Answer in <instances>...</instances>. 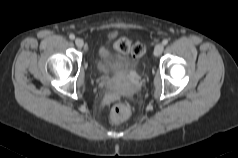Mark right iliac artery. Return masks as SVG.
Wrapping results in <instances>:
<instances>
[{"label": "right iliac artery", "mask_w": 238, "mask_h": 158, "mask_svg": "<svg viewBox=\"0 0 238 158\" xmlns=\"http://www.w3.org/2000/svg\"><path fill=\"white\" fill-rule=\"evenodd\" d=\"M69 38H70L71 40H74V39H75V35H74V34H70V35H69Z\"/></svg>", "instance_id": "1"}]
</instances>
